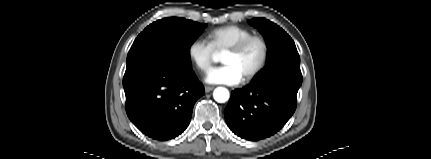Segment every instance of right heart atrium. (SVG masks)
<instances>
[{"label":"right heart atrium","instance_id":"1","mask_svg":"<svg viewBox=\"0 0 431 159\" xmlns=\"http://www.w3.org/2000/svg\"><path fill=\"white\" fill-rule=\"evenodd\" d=\"M215 53L216 51L211 43L200 37L192 40L187 48L190 61L202 72H207L209 70L214 60Z\"/></svg>","mask_w":431,"mask_h":159}]
</instances>
